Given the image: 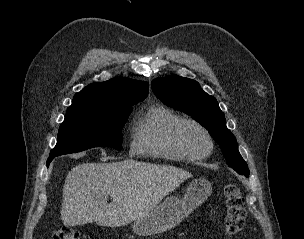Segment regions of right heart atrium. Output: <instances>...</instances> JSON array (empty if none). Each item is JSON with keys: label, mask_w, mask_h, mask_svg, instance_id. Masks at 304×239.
Instances as JSON below:
<instances>
[{"label": "right heart atrium", "mask_w": 304, "mask_h": 239, "mask_svg": "<svg viewBox=\"0 0 304 239\" xmlns=\"http://www.w3.org/2000/svg\"><path fill=\"white\" fill-rule=\"evenodd\" d=\"M138 147H139L138 137H137L136 133L133 132L130 137V149L132 151H137Z\"/></svg>", "instance_id": "right-heart-atrium-1"}]
</instances>
